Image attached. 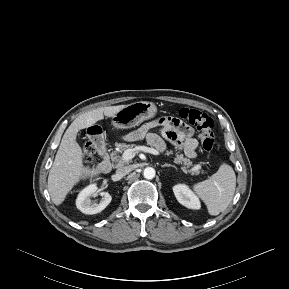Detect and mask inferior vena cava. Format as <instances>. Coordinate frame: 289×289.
I'll return each mask as SVG.
<instances>
[{
	"label": "inferior vena cava",
	"instance_id": "inferior-vena-cava-1",
	"mask_svg": "<svg viewBox=\"0 0 289 289\" xmlns=\"http://www.w3.org/2000/svg\"><path fill=\"white\" fill-rule=\"evenodd\" d=\"M132 169H133L132 166L120 167L116 170V177L122 178L125 175H127L128 173H130L132 171Z\"/></svg>",
	"mask_w": 289,
	"mask_h": 289
}]
</instances>
